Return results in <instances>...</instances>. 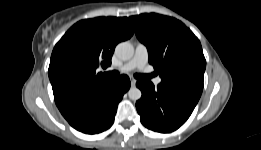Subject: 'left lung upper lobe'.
<instances>
[{
	"label": "left lung upper lobe",
	"mask_w": 261,
	"mask_h": 150,
	"mask_svg": "<svg viewBox=\"0 0 261 150\" xmlns=\"http://www.w3.org/2000/svg\"><path fill=\"white\" fill-rule=\"evenodd\" d=\"M129 19L162 81L186 80L203 86L206 60L200 41L189 28L175 18L155 13Z\"/></svg>",
	"instance_id": "5c2ea615"
}]
</instances>
